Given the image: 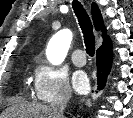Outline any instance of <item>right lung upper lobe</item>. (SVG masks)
<instances>
[{
    "label": "right lung upper lobe",
    "mask_w": 133,
    "mask_h": 118,
    "mask_svg": "<svg viewBox=\"0 0 133 118\" xmlns=\"http://www.w3.org/2000/svg\"><path fill=\"white\" fill-rule=\"evenodd\" d=\"M91 10H92V18H93V23H94L95 29L97 31L102 30V33H103V35H102V37H103L102 45H103V44L107 43L108 41H110V38H109L108 35L105 34L106 29L103 25L102 15H101V12H100L98 6L95 3L92 4Z\"/></svg>",
    "instance_id": "obj_1"
}]
</instances>
